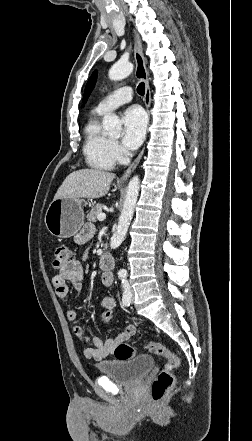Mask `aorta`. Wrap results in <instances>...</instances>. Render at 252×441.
Wrapping results in <instances>:
<instances>
[{
  "label": "aorta",
  "instance_id": "obj_1",
  "mask_svg": "<svg viewBox=\"0 0 252 441\" xmlns=\"http://www.w3.org/2000/svg\"><path fill=\"white\" fill-rule=\"evenodd\" d=\"M133 71V64L127 61H118L109 70V78L113 81H119L129 76ZM103 128L111 135L118 136L122 131V124L116 115L105 117ZM140 179L134 176L128 184L126 196L123 203V210L118 220L116 232L111 238L110 245L117 248L123 242L128 231L130 221L132 220L134 209L139 195Z\"/></svg>",
  "mask_w": 252,
  "mask_h": 441
}]
</instances>
